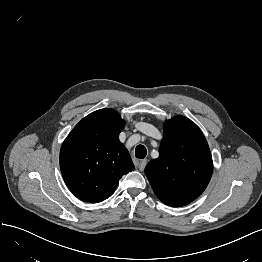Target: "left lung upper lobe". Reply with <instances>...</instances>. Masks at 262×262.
Wrapping results in <instances>:
<instances>
[{"label": "left lung upper lobe", "mask_w": 262, "mask_h": 262, "mask_svg": "<svg viewBox=\"0 0 262 262\" xmlns=\"http://www.w3.org/2000/svg\"><path fill=\"white\" fill-rule=\"evenodd\" d=\"M145 174L157 197L166 205L189 204L206 189L213 171L208 143L190 119L176 116L164 124L159 157Z\"/></svg>", "instance_id": "1"}]
</instances>
